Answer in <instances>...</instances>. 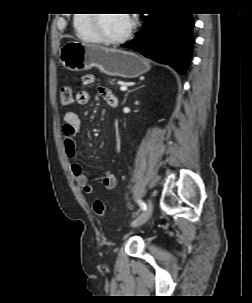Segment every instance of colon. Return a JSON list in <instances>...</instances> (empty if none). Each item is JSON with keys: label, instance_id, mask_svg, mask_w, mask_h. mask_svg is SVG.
<instances>
[{"label": "colon", "instance_id": "5ec220e1", "mask_svg": "<svg viewBox=\"0 0 252 303\" xmlns=\"http://www.w3.org/2000/svg\"><path fill=\"white\" fill-rule=\"evenodd\" d=\"M60 100L62 105L70 106L73 103V89L70 85H63L60 90ZM93 210L96 216L104 218L106 216V206L101 200H96L93 204Z\"/></svg>", "mask_w": 252, "mask_h": 303}]
</instances>
